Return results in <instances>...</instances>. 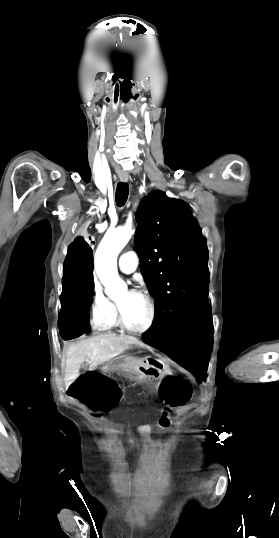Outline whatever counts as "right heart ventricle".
I'll return each mask as SVG.
<instances>
[{
  "mask_svg": "<svg viewBox=\"0 0 279 538\" xmlns=\"http://www.w3.org/2000/svg\"><path fill=\"white\" fill-rule=\"evenodd\" d=\"M104 225L101 226V227H98L99 230H103L104 229ZM135 228H136V224H135V221H134V217L132 214H129L128 215V218L126 220V222L124 223V225H122L121 227H118V228H112L109 230L108 233H115V234H118L120 236H123V237H128V235H130L131 233H133L135 231ZM112 302V305H113V311H112V314L107 322V325L105 328H111V327H115V326H118V312H117V302L114 301V300H111Z\"/></svg>",
  "mask_w": 279,
  "mask_h": 538,
  "instance_id": "e07e8e85",
  "label": "right heart ventricle"
}]
</instances>
